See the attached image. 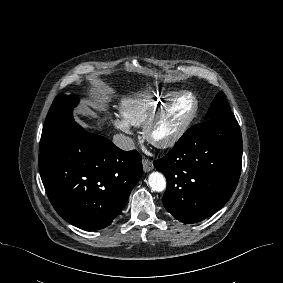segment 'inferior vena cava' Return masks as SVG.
<instances>
[{
  "mask_svg": "<svg viewBox=\"0 0 283 283\" xmlns=\"http://www.w3.org/2000/svg\"><path fill=\"white\" fill-rule=\"evenodd\" d=\"M113 143L122 150L129 151L135 148L132 138L124 134H116L113 136Z\"/></svg>",
  "mask_w": 283,
  "mask_h": 283,
  "instance_id": "inferior-vena-cava-1",
  "label": "inferior vena cava"
}]
</instances>
